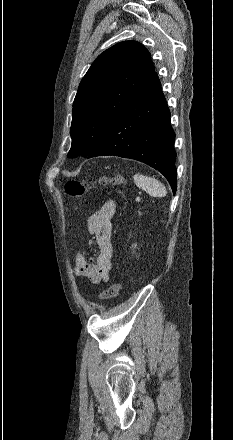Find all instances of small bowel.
I'll return each mask as SVG.
<instances>
[{
  "instance_id": "1",
  "label": "small bowel",
  "mask_w": 233,
  "mask_h": 440,
  "mask_svg": "<svg viewBox=\"0 0 233 440\" xmlns=\"http://www.w3.org/2000/svg\"><path fill=\"white\" fill-rule=\"evenodd\" d=\"M116 212V203L106 201L102 207L89 216L87 226L92 239L89 245L95 247V256L88 257L82 252L75 256V274L86 277L93 283L107 281L110 276L114 249L111 242L112 218Z\"/></svg>"
}]
</instances>
